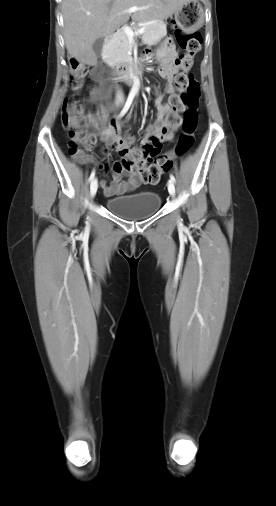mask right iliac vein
Wrapping results in <instances>:
<instances>
[{
	"label": "right iliac vein",
	"mask_w": 276,
	"mask_h": 506,
	"mask_svg": "<svg viewBox=\"0 0 276 506\" xmlns=\"http://www.w3.org/2000/svg\"><path fill=\"white\" fill-rule=\"evenodd\" d=\"M97 188H98V183H97V180H96V179H94V180L91 182V185H90V194H91V198H94V196L96 195Z\"/></svg>",
	"instance_id": "63e3f726"
}]
</instances>
